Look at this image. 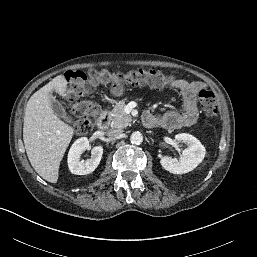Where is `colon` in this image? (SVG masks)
<instances>
[{
  "instance_id": "obj_1",
  "label": "colon",
  "mask_w": 257,
  "mask_h": 257,
  "mask_svg": "<svg viewBox=\"0 0 257 257\" xmlns=\"http://www.w3.org/2000/svg\"><path fill=\"white\" fill-rule=\"evenodd\" d=\"M65 77L68 81L67 95L71 102V110L78 117L74 126L78 134L90 132L100 116V108L97 104L81 100L83 96L92 93L97 86L131 84L162 88L176 80L173 74L155 69H136L127 73H114L108 70L70 71ZM198 95L202 113L209 123L216 118L215 96L207 89L200 90Z\"/></svg>"
}]
</instances>
